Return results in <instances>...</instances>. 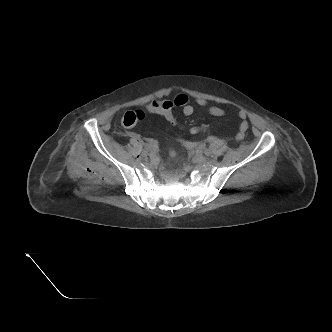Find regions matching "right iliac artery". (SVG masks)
Listing matches in <instances>:
<instances>
[{"label": "right iliac artery", "instance_id": "82829eb1", "mask_svg": "<svg viewBox=\"0 0 332 332\" xmlns=\"http://www.w3.org/2000/svg\"><path fill=\"white\" fill-rule=\"evenodd\" d=\"M144 150H151L153 145L151 143H144L143 144Z\"/></svg>", "mask_w": 332, "mask_h": 332}]
</instances>
